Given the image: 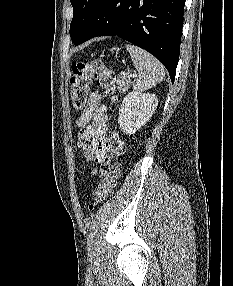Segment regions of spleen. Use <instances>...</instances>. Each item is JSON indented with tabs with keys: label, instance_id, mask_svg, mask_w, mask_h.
<instances>
[{
	"label": "spleen",
	"instance_id": "3e777b00",
	"mask_svg": "<svg viewBox=\"0 0 233 286\" xmlns=\"http://www.w3.org/2000/svg\"><path fill=\"white\" fill-rule=\"evenodd\" d=\"M126 49L138 71V77L133 84L135 92L148 90L163 80L164 67L153 55L132 44H127Z\"/></svg>",
	"mask_w": 233,
	"mask_h": 286
}]
</instances>
